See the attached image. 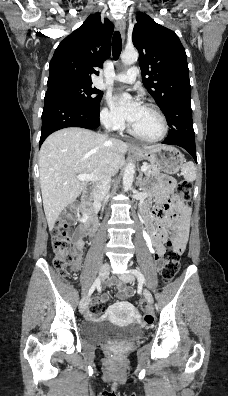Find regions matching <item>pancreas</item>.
Returning a JSON list of instances; mask_svg holds the SVG:
<instances>
[{"mask_svg":"<svg viewBox=\"0 0 228 396\" xmlns=\"http://www.w3.org/2000/svg\"><path fill=\"white\" fill-rule=\"evenodd\" d=\"M146 166H147V170L145 171V175L146 176L159 175L160 174V169L156 165L148 164Z\"/></svg>","mask_w":228,"mask_h":396,"instance_id":"cf45deb5","label":"pancreas"}]
</instances>
